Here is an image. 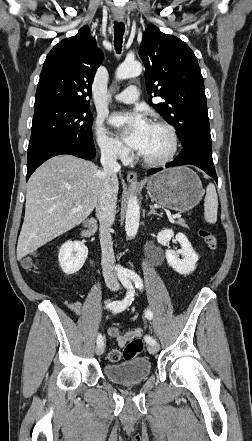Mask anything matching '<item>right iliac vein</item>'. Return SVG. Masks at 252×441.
<instances>
[{"instance_id":"obj_1","label":"right iliac vein","mask_w":252,"mask_h":441,"mask_svg":"<svg viewBox=\"0 0 252 441\" xmlns=\"http://www.w3.org/2000/svg\"><path fill=\"white\" fill-rule=\"evenodd\" d=\"M104 348H105V346H104V341H103V343L97 347L96 354L99 356L102 355L104 352Z\"/></svg>"}]
</instances>
